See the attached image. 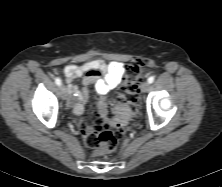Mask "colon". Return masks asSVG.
I'll use <instances>...</instances> for the list:
<instances>
[{
	"label": "colon",
	"mask_w": 222,
	"mask_h": 187,
	"mask_svg": "<svg viewBox=\"0 0 222 187\" xmlns=\"http://www.w3.org/2000/svg\"><path fill=\"white\" fill-rule=\"evenodd\" d=\"M143 65V60L132 62L126 70L118 99L105 107L102 116L91 124L82 126L81 133L89 149L101 154L114 153L125 133L126 125L141 118L138 93ZM109 124L115 126V131L108 129Z\"/></svg>",
	"instance_id": "colon-1"
}]
</instances>
